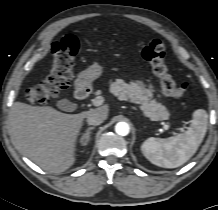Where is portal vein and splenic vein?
I'll return each mask as SVG.
<instances>
[{"instance_id":"portal-vein-and-splenic-vein-1","label":"portal vein and splenic vein","mask_w":218,"mask_h":210,"mask_svg":"<svg viewBox=\"0 0 218 210\" xmlns=\"http://www.w3.org/2000/svg\"><path fill=\"white\" fill-rule=\"evenodd\" d=\"M93 105L94 106H100L104 103V97L103 96H97L95 99H93ZM163 128L165 130H178V131H183L184 129L183 128H174V127H171L170 125L166 124V123H163Z\"/></svg>"}]
</instances>
